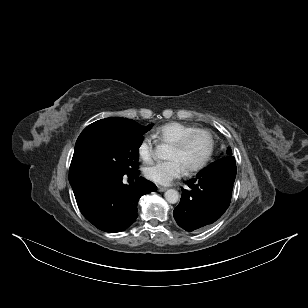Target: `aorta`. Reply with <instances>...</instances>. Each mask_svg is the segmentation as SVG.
Listing matches in <instances>:
<instances>
[{
	"label": "aorta",
	"instance_id": "1",
	"mask_svg": "<svg viewBox=\"0 0 308 308\" xmlns=\"http://www.w3.org/2000/svg\"><path fill=\"white\" fill-rule=\"evenodd\" d=\"M155 154L158 158L165 159L167 155L166 149L164 147H158L155 151ZM164 197L168 203L175 204L179 200V193L175 189H168L165 192Z\"/></svg>",
	"mask_w": 308,
	"mask_h": 308
}]
</instances>
